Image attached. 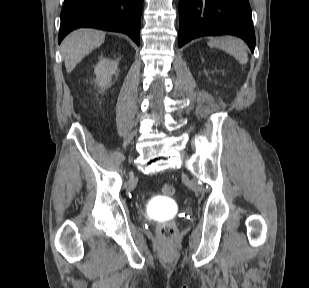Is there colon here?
<instances>
[{
	"label": "colon",
	"instance_id": "5ec220e1",
	"mask_svg": "<svg viewBox=\"0 0 309 288\" xmlns=\"http://www.w3.org/2000/svg\"><path fill=\"white\" fill-rule=\"evenodd\" d=\"M161 193L163 196H171L174 194V187L169 184H164L161 187ZM158 235L162 240H171L176 236V227L173 223H163L158 231Z\"/></svg>",
	"mask_w": 309,
	"mask_h": 288
}]
</instances>
